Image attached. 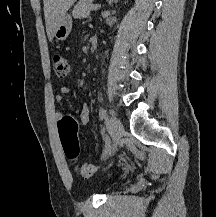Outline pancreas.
Instances as JSON below:
<instances>
[{
    "instance_id": "pancreas-1",
    "label": "pancreas",
    "mask_w": 216,
    "mask_h": 217,
    "mask_svg": "<svg viewBox=\"0 0 216 217\" xmlns=\"http://www.w3.org/2000/svg\"><path fill=\"white\" fill-rule=\"evenodd\" d=\"M93 0H80L73 10L74 18H86L89 16Z\"/></svg>"
}]
</instances>
